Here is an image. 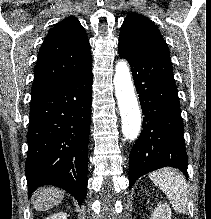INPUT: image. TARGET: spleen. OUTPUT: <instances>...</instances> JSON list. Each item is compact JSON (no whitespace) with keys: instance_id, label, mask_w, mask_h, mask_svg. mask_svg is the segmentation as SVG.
<instances>
[{"instance_id":"3e777b00","label":"spleen","mask_w":211,"mask_h":219,"mask_svg":"<svg viewBox=\"0 0 211 219\" xmlns=\"http://www.w3.org/2000/svg\"><path fill=\"white\" fill-rule=\"evenodd\" d=\"M150 179L167 196L177 213H184L188 201L185 176L172 168H164L149 175Z\"/></svg>"}]
</instances>
